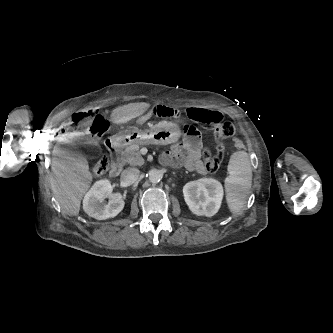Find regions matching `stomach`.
<instances>
[{
  "label": "stomach",
  "instance_id": "obj_1",
  "mask_svg": "<svg viewBox=\"0 0 333 333\" xmlns=\"http://www.w3.org/2000/svg\"><path fill=\"white\" fill-rule=\"evenodd\" d=\"M181 135L179 126L170 121H162L147 129L128 128L110 138L117 147L130 144H171L178 141Z\"/></svg>",
  "mask_w": 333,
  "mask_h": 333
}]
</instances>
